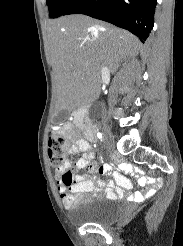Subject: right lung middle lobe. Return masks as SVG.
I'll list each match as a JSON object with an SVG mask.
<instances>
[{
    "label": "right lung middle lobe",
    "instance_id": "1",
    "mask_svg": "<svg viewBox=\"0 0 183 246\" xmlns=\"http://www.w3.org/2000/svg\"><path fill=\"white\" fill-rule=\"evenodd\" d=\"M75 0H47L50 18H57L74 3Z\"/></svg>",
    "mask_w": 183,
    "mask_h": 246
}]
</instances>
